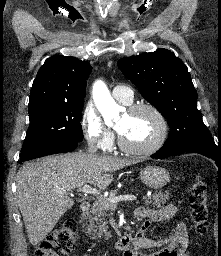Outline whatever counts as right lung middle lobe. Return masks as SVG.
Instances as JSON below:
<instances>
[{"label":"right lung middle lobe","mask_w":221,"mask_h":256,"mask_svg":"<svg viewBox=\"0 0 221 256\" xmlns=\"http://www.w3.org/2000/svg\"><path fill=\"white\" fill-rule=\"evenodd\" d=\"M84 102L49 105L28 110L30 125L20 157L50 143L82 141L80 124Z\"/></svg>","instance_id":"dd1d6c3e"}]
</instances>
